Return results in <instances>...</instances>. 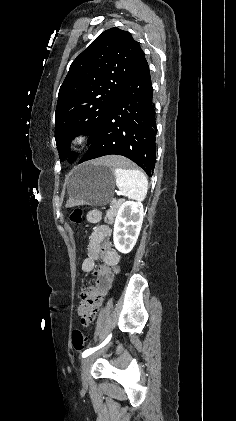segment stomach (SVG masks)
Segmentation results:
<instances>
[{"mask_svg":"<svg viewBox=\"0 0 236 421\" xmlns=\"http://www.w3.org/2000/svg\"><path fill=\"white\" fill-rule=\"evenodd\" d=\"M115 168L99 162H83L71 172L70 196L75 204L102 206L113 198Z\"/></svg>","mask_w":236,"mask_h":421,"instance_id":"1","label":"stomach"}]
</instances>
